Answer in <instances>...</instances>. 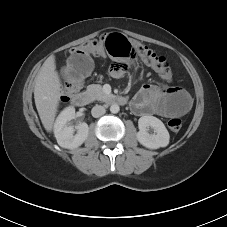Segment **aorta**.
Wrapping results in <instances>:
<instances>
[{
	"label": "aorta",
	"mask_w": 227,
	"mask_h": 227,
	"mask_svg": "<svg viewBox=\"0 0 227 227\" xmlns=\"http://www.w3.org/2000/svg\"><path fill=\"white\" fill-rule=\"evenodd\" d=\"M119 110H120V107H119L118 104H112V105L110 106V112L113 113V114L118 113Z\"/></svg>",
	"instance_id": "aorta-1"
}]
</instances>
